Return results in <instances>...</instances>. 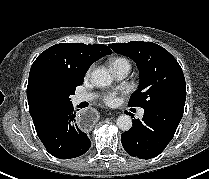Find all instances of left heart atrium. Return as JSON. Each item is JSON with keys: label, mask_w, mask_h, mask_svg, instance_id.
<instances>
[{"label": "left heart atrium", "mask_w": 209, "mask_h": 179, "mask_svg": "<svg viewBox=\"0 0 209 179\" xmlns=\"http://www.w3.org/2000/svg\"><path fill=\"white\" fill-rule=\"evenodd\" d=\"M117 100H118V97H117V93L115 92L107 93L103 97V101L107 105H115L117 103Z\"/></svg>", "instance_id": "39dd6f15"}]
</instances>
